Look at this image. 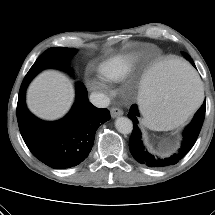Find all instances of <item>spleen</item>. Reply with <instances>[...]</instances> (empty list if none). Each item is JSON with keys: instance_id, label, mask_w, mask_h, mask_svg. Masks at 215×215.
<instances>
[{"instance_id": "spleen-1", "label": "spleen", "mask_w": 215, "mask_h": 215, "mask_svg": "<svg viewBox=\"0 0 215 215\" xmlns=\"http://www.w3.org/2000/svg\"><path fill=\"white\" fill-rule=\"evenodd\" d=\"M204 86L182 59L160 62L141 81L139 105L144 123L152 130H167L185 121L201 101Z\"/></svg>"}]
</instances>
